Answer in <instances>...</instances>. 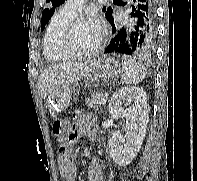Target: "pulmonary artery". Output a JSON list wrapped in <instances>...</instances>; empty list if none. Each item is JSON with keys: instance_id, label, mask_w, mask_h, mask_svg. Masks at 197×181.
Masks as SVG:
<instances>
[{"instance_id": "obj_1", "label": "pulmonary artery", "mask_w": 197, "mask_h": 181, "mask_svg": "<svg viewBox=\"0 0 197 181\" xmlns=\"http://www.w3.org/2000/svg\"><path fill=\"white\" fill-rule=\"evenodd\" d=\"M84 3L85 0H67L64 6L70 11L78 14L82 10Z\"/></svg>"}]
</instances>
